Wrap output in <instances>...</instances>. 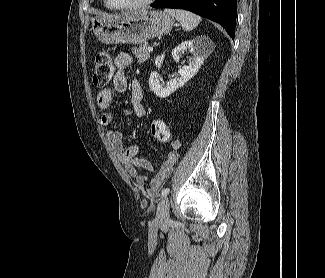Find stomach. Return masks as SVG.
Returning <instances> with one entry per match:
<instances>
[{
	"instance_id": "0dacf381",
	"label": "stomach",
	"mask_w": 325,
	"mask_h": 278,
	"mask_svg": "<svg viewBox=\"0 0 325 278\" xmlns=\"http://www.w3.org/2000/svg\"><path fill=\"white\" fill-rule=\"evenodd\" d=\"M91 22L94 35L104 44L140 45L169 33L174 18L159 10H139L121 17L96 16Z\"/></svg>"
}]
</instances>
